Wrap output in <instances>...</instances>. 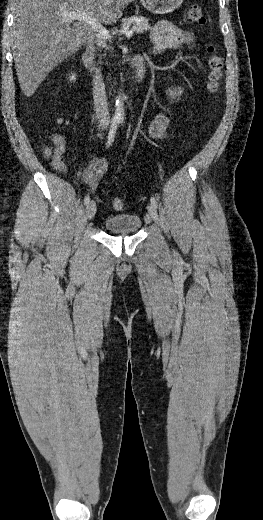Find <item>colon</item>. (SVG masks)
<instances>
[{
  "label": "colon",
  "instance_id": "colon-1",
  "mask_svg": "<svg viewBox=\"0 0 263 520\" xmlns=\"http://www.w3.org/2000/svg\"><path fill=\"white\" fill-rule=\"evenodd\" d=\"M186 21L193 25H205L206 16L203 13L202 8L197 4H192L187 11ZM208 59V89L211 93L215 94L219 91L220 83L223 76V65L224 61L221 55L218 54V49L214 44H209L207 47ZM112 206L115 210L120 211L125 207L124 200L117 197L112 201Z\"/></svg>",
  "mask_w": 263,
  "mask_h": 520
}]
</instances>
